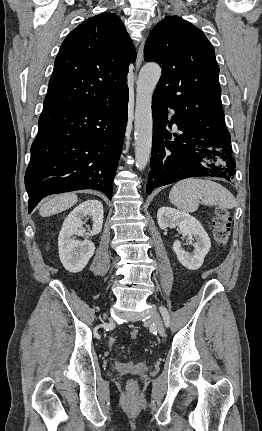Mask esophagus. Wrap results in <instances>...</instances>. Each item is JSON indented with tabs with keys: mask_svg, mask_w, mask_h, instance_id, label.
<instances>
[{
	"mask_svg": "<svg viewBox=\"0 0 262 431\" xmlns=\"http://www.w3.org/2000/svg\"><path fill=\"white\" fill-rule=\"evenodd\" d=\"M143 48H144V39L142 40L138 52H137V60H136V69L138 70L142 64L143 60Z\"/></svg>",
	"mask_w": 262,
	"mask_h": 431,
	"instance_id": "1",
	"label": "esophagus"
}]
</instances>
